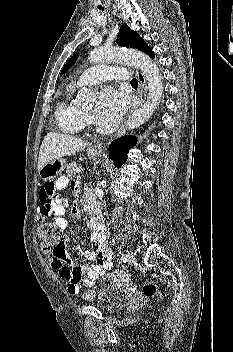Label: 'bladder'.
Instances as JSON below:
<instances>
[{"label": "bladder", "instance_id": "31cf9c89", "mask_svg": "<svg viewBox=\"0 0 233 352\" xmlns=\"http://www.w3.org/2000/svg\"><path fill=\"white\" fill-rule=\"evenodd\" d=\"M95 304L99 309L113 313L125 305V297L118 290L110 286H103L97 292Z\"/></svg>", "mask_w": 233, "mask_h": 352}]
</instances>
